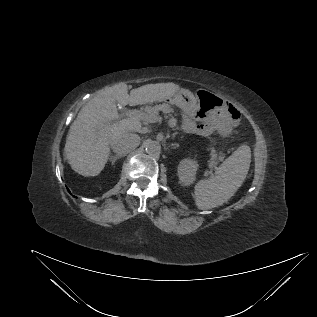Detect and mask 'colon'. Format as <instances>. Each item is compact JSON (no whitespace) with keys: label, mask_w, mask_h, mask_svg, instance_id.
Listing matches in <instances>:
<instances>
[{"label":"colon","mask_w":317,"mask_h":317,"mask_svg":"<svg viewBox=\"0 0 317 317\" xmlns=\"http://www.w3.org/2000/svg\"><path fill=\"white\" fill-rule=\"evenodd\" d=\"M228 113L234 122L239 119V112L234 107L228 106Z\"/></svg>","instance_id":"1"}]
</instances>
